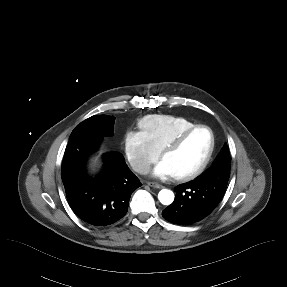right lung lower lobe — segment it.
<instances>
[{
	"label": "right lung lower lobe",
	"mask_w": 287,
	"mask_h": 287,
	"mask_svg": "<svg viewBox=\"0 0 287 287\" xmlns=\"http://www.w3.org/2000/svg\"><path fill=\"white\" fill-rule=\"evenodd\" d=\"M102 138L95 134L70 138L61 166L71 209L92 226H106L120 220L128 210L132 192L141 186L123 156L115 152L103 156L104 166L98 176L87 173L88 157L98 149Z\"/></svg>",
	"instance_id": "98d812e1"
}]
</instances>
